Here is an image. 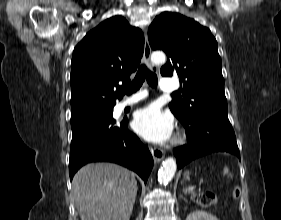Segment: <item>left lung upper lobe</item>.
I'll list each match as a JSON object with an SVG mask.
<instances>
[{
    "instance_id": "1",
    "label": "left lung upper lobe",
    "mask_w": 281,
    "mask_h": 220,
    "mask_svg": "<svg viewBox=\"0 0 281 220\" xmlns=\"http://www.w3.org/2000/svg\"><path fill=\"white\" fill-rule=\"evenodd\" d=\"M153 50L168 57L162 76L177 74L183 83L184 98L173 99V114L188 121L204 113L227 115L221 58L211 31L179 13L163 12L148 29Z\"/></svg>"
}]
</instances>
